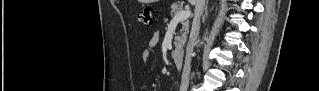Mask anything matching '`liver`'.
Wrapping results in <instances>:
<instances>
[{
	"label": "liver",
	"mask_w": 319,
	"mask_h": 91,
	"mask_svg": "<svg viewBox=\"0 0 319 91\" xmlns=\"http://www.w3.org/2000/svg\"><path fill=\"white\" fill-rule=\"evenodd\" d=\"M196 1H197V0H189V2H190L192 5H195V4H196Z\"/></svg>",
	"instance_id": "liver-1"
}]
</instances>
